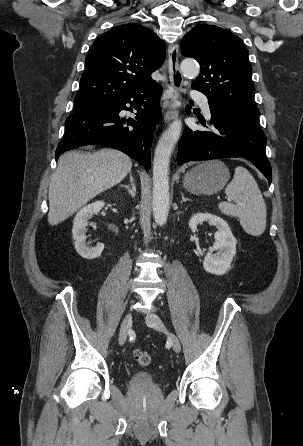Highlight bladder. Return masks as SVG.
I'll list each match as a JSON object with an SVG mask.
<instances>
[{"mask_svg": "<svg viewBox=\"0 0 303 446\" xmlns=\"http://www.w3.org/2000/svg\"><path fill=\"white\" fill-rule=\"evenodd\" d=\"M129 385L132 387H155L157 381L155 377L144 371H138L131 375Z\"/></svg>", "mask_w": 303, "mask_h": 446, "instance_id": "1", "label": "bladder"}]
</instances>
